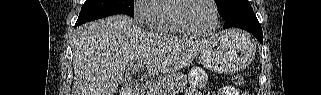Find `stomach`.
<instances>
[{
  "label": "stomach",
  "mask_w": 321,
  "mask_h": 95,
  "mask_svg": "<svg viewBox=\"0 0 321 95\" xmlns=\"http://www.w3.org/2000/svg\"><path fill=\"white\" fill-rule=\"evenodd\" d=\"M256 46L244 32L230 30L210 39L200 51L201 64L219 73H234L244 68L254 57Z\"/></svg>",
  "instance_id": "stomach-1"
}]
</instances>
